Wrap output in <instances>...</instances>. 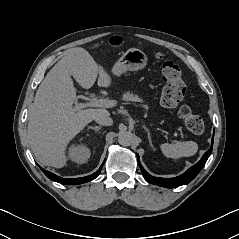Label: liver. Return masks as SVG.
I'll return each mask as SVG.
<instances>
[{"instance_id": "obj_1", "label": "liver", "mask_w": 239, "mask_h": 239, "mask_svg": "<svg viewBox=\"0 0 239 239\" xmlns=\"http://www.w3.org/2000/svg\"><path fill=\"white\" fill-rule=\"evenodd\" d=\"M71 76L84 89L91 88L97 77L99 87L111 85L107 71L81 47L68 50L48 72L36 92L27 129L31 149L45 166H65L69 141L94 120L97 113L105 110H75L77 95Z\"/></svg>"}]
</instances>
